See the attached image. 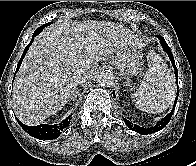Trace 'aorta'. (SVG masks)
I'll return each mask as SVG.
<instances>
[{
	"mask_svg": "<svg viewBox=\"0 0 196 166\" xmlns=\"http://www.w3.org/2000/svg\"><path fill=\"white\" fill-rule=\"evenodd\" d=\"M97 83L102 87H110L114 83V75L110 71H102L98 74Z\"/></svg>",
	"mask_w": 196,
	"mask_h": 166,
	"instance_id": "obj_1",
	"label": "aorta"
}]
</instances>
